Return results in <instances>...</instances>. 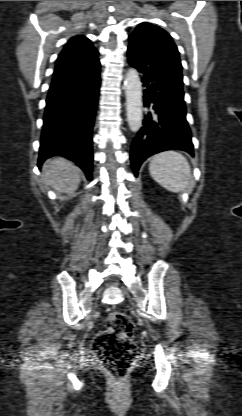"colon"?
<instances>
[{
	"label": "colon",
	"mask_w": 242,
	"mask_h": 416,
	"mask_svg": "<svg viewBox=\"0 0 242 416\" xmlns=\"http://www.w3.org/2000/svg\"><path fill=\"white\" fill-rule=\"evenodd\" d=\"M134 325L122 311H112L106 328L94 340V350L107 372L116 379L124 378L137 358V347L132 339Z\"/></svg>",
	"instance_id": "5ec220e1"
}]
</instances>
